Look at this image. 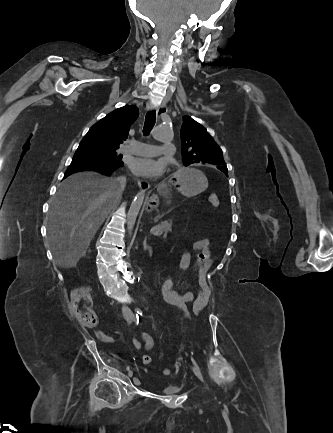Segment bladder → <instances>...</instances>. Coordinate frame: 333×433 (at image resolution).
Instances as JSON below:
<instances>
[{
  "label": "bladder",
  "mask_w": 333,
  "mask_h": 433,
  "mask_svg": "<svg viewBox=\"0 0 333 433\" xmlns=\"http://www.w3.org/2000/svg\"><path fill=\"white\" fill-rule=\"evenodd\" d=\"M182 387L179 385H167L162 388L161 392L168 396H176L180 394Z\"/></svg>",
  "instance_id": "31cf9c89"
}]
</instances>
